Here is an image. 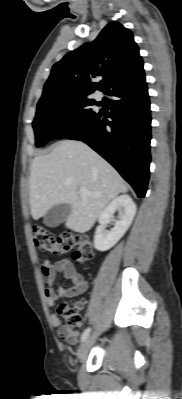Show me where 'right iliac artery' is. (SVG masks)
I'll use <instances>...</instances> for the list:
<instances>
[{"label":"right iliac artery","mask_w":182,"mask_h":399,"mask_svg":"<svg viewBox=\"0 0 182 399\" xmlns=\"http://www.w3.org/2000/svg\"><path fill=\"white\" fill-rule=\"evenodd\" d=\"M90 331H91V329H90V328H87V329L83 332V334H82V336H81V341H84V340H86V339L88 338V336H89V334H90Z\"/></svg>","instance_id":"1"}]
</instances>
